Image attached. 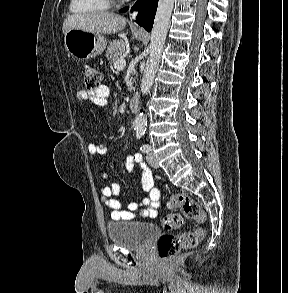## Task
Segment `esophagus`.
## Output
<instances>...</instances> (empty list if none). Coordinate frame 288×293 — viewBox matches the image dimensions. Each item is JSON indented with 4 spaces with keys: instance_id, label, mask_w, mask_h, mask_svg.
Masks as SVG:
<instances>
[{
    "instance_id": "1",
    "label": "esophagus",
    "mask_w": 288,
    "mask_h": 293,
    "mask_svg": "<svg viewBox=\"0 0 288 293\" xmlns=\"http://www.w3.org/2000/svg\"><path fill=\"white\" fill-rule=\"evenodd\" d=\"M135 15H136V14L134 13V14H133V17H135Z\"/></svg>"
}]
</instances>
